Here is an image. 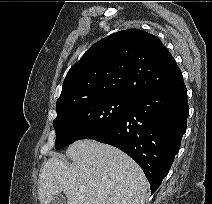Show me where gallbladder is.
Instances as JSON below:
<instances>
[{"label": "gallbladder", "mask_w": 212, "mask_h": 204, "mask_svg": "<svg viewBox=\"0 0 212 204\" xmlns=\"http://www.w3.org/2000/svg\"><path fill=\"white\" fill-rule=\"evenodd\" d=\"M51 204H66V199L63 195H56L52 199Z\"/></svg>", "instance_id": "bac80fb5"}]
</instances>
